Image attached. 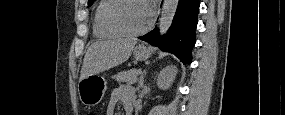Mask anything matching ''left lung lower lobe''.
Masks as SVG:
<instances>
[{
    "mask_svg": "<svg viewBox=\"0 0 285 115\" xmlns=\"http://www.w3.org/2000/svg\"><path fill=\"white\" fill-rule=\"evenodd\" d=\"M198 12L199 0H179L172 25L163 37L154 29L139 39L158 46L163 51L173 53L184 64H190L191 51L195 45Z\"/></svg>",
    "mask_w": 285,
    "mask_h": 115,
    "instance_id": "0a47b994",
    "label": "left lung lower lobe"
}]
</instances>
